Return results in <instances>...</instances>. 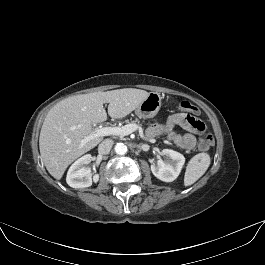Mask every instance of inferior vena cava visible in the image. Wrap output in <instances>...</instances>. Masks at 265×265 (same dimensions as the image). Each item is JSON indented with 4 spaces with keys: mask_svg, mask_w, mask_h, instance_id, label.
<instances>
[{
    "mask_svg": "<svg viewBox=\"0 0 265 265\" xmlns=\"http://www.w3.org/2000/svg\"><path fill=\"white\" fill-rule=\"evenodd\" d=\"M114 142L112 139L103 140L98 146L99 154L106 155L110 152Z\"/></svg>",
    "mask_w": 265,
    "mask_h": 265,
    "instance_id": "602c4592",
    "label": "inferior vena cava"
}]
</instances>
